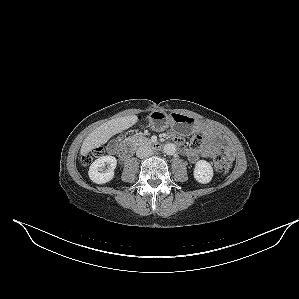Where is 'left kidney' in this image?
I'll list each match as a JSON object with an SVG mask.
<instances>
[{
    "label": "left kidney",
    "mask_w": 299,
    "mask_h": 299,
    "mask_svg": "<svg viewBox=\"0 0 299 299\" xmlns=\"http://www.w3.org/2000/svg\"><path fill=\"white\" fill-rule=\"evenodd\" d=\"M213 168L209 162L205 160H199L195 164L194 168V178L201 184L209 183L213 178Z\"/></svg>",
    "instance_id": "5707ae66"
}]
</instances>
